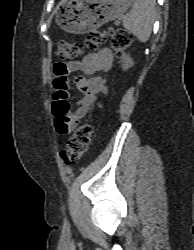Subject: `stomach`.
I'll use <instances>...</instances> for the list:
<instances>
[{
	"label": "stomach",
	"mask_w": 194,
	"mask_h": 250,
	"mask_svg": "<svg viewBox=\"0 0 194 250\" xmlns=\"http://www.w3.org/2000/svg\"><path fill=\"white\" fill-rule=\"evenodd\" d=\"M134 0H62L56 23L74 34L87 33L121 17Z\"/></svg>",
	"instance_id": "stomach-1"
}]
</instances>
